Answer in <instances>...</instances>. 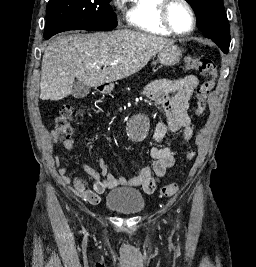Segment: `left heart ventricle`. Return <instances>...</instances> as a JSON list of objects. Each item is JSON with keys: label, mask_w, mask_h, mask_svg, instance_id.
I'll return each mask as SVG.
<instances>
[{"label": "left heart ventricle", "mask_w": 256, "mask_h": 267, "mask_svg": "<svg viewBox=\"0 0 256 267\" xmlns=\"http://www.w3.org/2000/svg\"><path fill=\"white\" fill-rule=\"evenodd\" d=\"M168 14L171 24L178 32L185 33L191 29V15L183 5L173 2Z\"/></svg>", "instance_id": "b2bd125f"}]
</instances>
